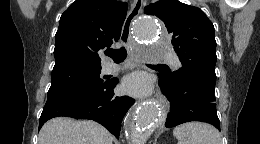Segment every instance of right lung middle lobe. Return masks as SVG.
<instances>
[{"label": "right lung middle lobe", "mask_w": 260, "mask_h": 144, "mask_svg": "<svg viewBox=\"0 0 260 144\" xmlns=\"http://www.w3.org/2000/svg\"><path fill=\"white\" fill-rule=\"evenodd\" d=\"M101 66H72L52 71V83L49 90L80 86L99 87L105 84L100 78Z\"/></svg>", "instance_id": "1"}]
</instances>
